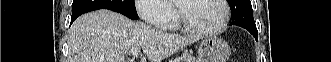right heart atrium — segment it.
Masks as SVG:
<instances>
[{
  "label": "right heart atrium",
  "instance_id": "right-heart-atrium-1",
  "mask_svg": "<svg viewBox=\"0 0 331 62\" xmlns=\"http://www.w3.org/2000/svg\"><path fill=\"white\" fill-rule=\"evenodd\" d=\"M135 10L145 22L157 28H166L173 22L174 11L165 0H138Z\"/></svg>",
  "mask_w": 331,
  "mask_h": 62
}]
</instances>
